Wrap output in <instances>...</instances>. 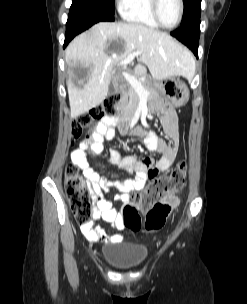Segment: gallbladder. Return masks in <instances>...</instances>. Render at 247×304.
Masks as SVG:
<instances>
[{
    "mask_svg": "<svg viewBox=\"0 0 247 304\" xmlns=\"http://www.w3.org/2000/svg\"><path fill=\"white\" fill-rule=\"evenodd\" d=\"M113 89H114V88H113V86L111 85V86H110V91H112Z\"/></svg>",
    "mask_w": 247,
    "mask_h": 304,
    "instance_id": "obj_1",
    "label": "gallbladder"
}]
</instances>
